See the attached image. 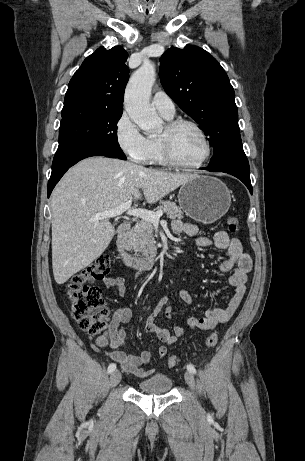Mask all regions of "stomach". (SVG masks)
<instances>
[{
    "label": "stomach",
    "mask_w": 305,
    "mask_h": 461,
    "mask_svg": "<svg viewBox=\"0 0 305 461\" xmlns=\"http://www.w3.org/2000/svg\"><path fill=\"white\" fill-rule=\"evenodd\" d=\"M178 202L187 216L210 224L227 213L231 205V195L221 180L211 176L195 175L182 184Z\"/></svg>",
    "instance_id": "1"
}]
</instances>
